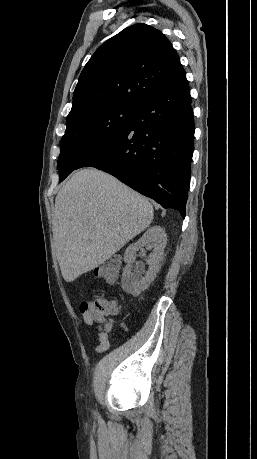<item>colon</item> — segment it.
Wrapping results in <instances>:
<instances>
[{"instance_id": "5ec220e1", "label": "colon", "mask_w": 257, "mask_h": 459, "mask_svg": "<svg viewBox=\"0 0 257 459\" xmlns=\"http://www.w3.org/2000/svg\"><path fill=\"white\" fill-rule=\"evenodd\" d=\"M121 266V261L118 258H111L103 263L96 271V276L106 281L115 280ZM80 310L83 313H91L96 319L104 320L111 315V301L98 297L90 300H85L80 305Z\"/></svg>"}]
</instances>
